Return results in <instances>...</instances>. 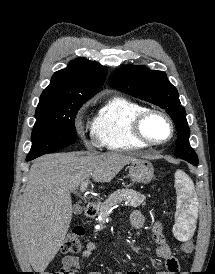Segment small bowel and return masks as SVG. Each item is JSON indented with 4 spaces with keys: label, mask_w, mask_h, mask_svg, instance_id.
Wrapping results in <instances>:
<instances>
[{
    "label": "small bowel",
    "mask_w": 215,
    "mask_h": 274,
    "mask_svg": "<svg viewBox=\"0 0 215 274\" xmlns=\"http://www.w3.org/2000/svg\"><path fill=\"white\" fill-rule=\"evenodd\" d=\"M130 222L133 228L142 229L146 226V220L141 212L133 211L130 217ZM152 240L155 244V252L159 258H162L165 263V268L156 272V274H177L180 272V266L176 257L173 256L171 248L163 234L162 225L155 221L151 224ZM97 249L95 241H89L85 249L79 256L67 255L63 258V270L65 274H75L79 268L82 260L89 258ZM87 274H101L98 271H91ZM114 274H124L122 272H115ZM132 274V273H129ZM181 274H187L182 272Z\"/></svg>",
    "instance_id": "small-bowel-1"
}]
</instances>
